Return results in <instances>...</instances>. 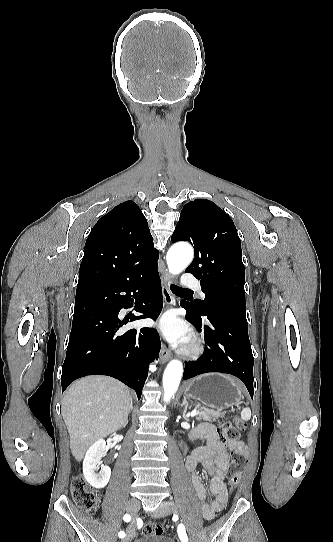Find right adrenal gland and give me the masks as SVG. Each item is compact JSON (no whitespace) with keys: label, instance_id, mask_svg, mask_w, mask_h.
Segmentation results:
<instances>
[{"label":"right adrenal gland","instance_id":"right-adrenal-gland-1","mask_svg":"<svg viewBox=\"0 0 333 542\" xmlns=\"http://www.w3.org/2000/svg\"><path fill=\"white\" fill-rule=\"evenodd\" d=\"M130 410H133V402H132V400L130 402Z\"/></svg>","mask_w":333,"mask_h":542}]
</instances>
